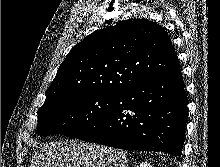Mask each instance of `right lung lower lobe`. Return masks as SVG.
I'll return each instance as SVG.
<instances>
[{"label":"right lung lower lobe","mask_w":220,"mask_h":167,"mask_svg":"<svg viewBox=\"0 0 220 167\" xmlns=\"http://www.w3.org/2000/svg\"><path fill=\"white\" fill-rule=\"evenodd\" d=\"M188 115L180 68L118 92L111 108L80 140L180 156Z\"/></svg>","instance_id":"obj_1"}]
</instances>
